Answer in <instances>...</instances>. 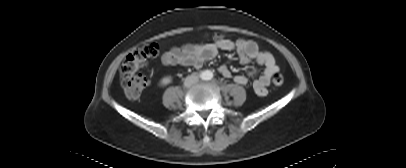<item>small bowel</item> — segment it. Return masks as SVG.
<instances>
[{
    "label": "small bowel",
    "mask_w": 406,
    "mask_h": 168,
    "mask_svg": "<svg viewBox=\"0 0 406 168\" xmlns=\"http://www.w3.org/2000/svg\"><path fill=\"white\" fill-rule=\"evenodd\" d=\"M218 50L235 51L242 64L256 62L263 66L259 77L251 80L255 72L239 74L234 76V81L239 85L251 84L254 92L261 97L267 95V86L270 83L272 74L279 70L274 56L267 50L259 48L258 44L249 39L239 38L235 41L224 40L215 44H186L180 47H173L163 54L162 62L168 66H190L199 68L208 60L214 58ZM220 74L225 78H231L232 72L227 65H221Z\"/></svg>",
    "instance_id": "c3829d8e"
}]
</instances>
